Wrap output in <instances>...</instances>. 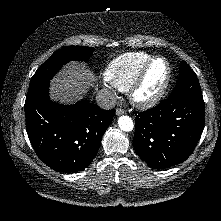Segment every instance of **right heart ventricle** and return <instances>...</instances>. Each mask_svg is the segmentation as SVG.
Here are the masks:
<instances>
[{
	"label": "right heart ventricle",
	"mask_w": 221,
	"mask_h": 221,
	"mask_svg": "<svg viewBox=\"0 0 221 221\" xmlns=\"http://www.w3.org/2000/svg\"><path fill=\"white\" fill-rule=\"evenodd\" d=\"M153 56L145 52H129L113 59L104 71L106 81L120 91H128L143 65Z\"/></svg>",
	"instance_id": "1"
}]
</instances>
